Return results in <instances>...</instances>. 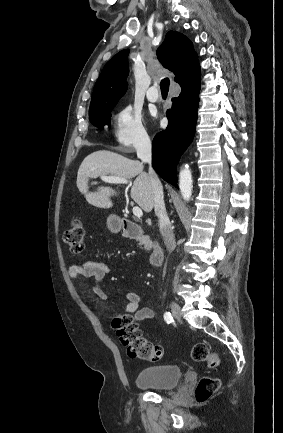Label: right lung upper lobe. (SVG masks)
<instances>
[{
  "instance_id": "1",
  "label": "right lung upper lobe",
  "mask_w": 283,
  "mask_h": 433,
  "mask_svg": "<svg viewBox=\"0 0 283 433\" xmlns=\"http://www.w3.org/2000/svg\"><path fill=\"white\" fill-rule=\"evenodd\" d=\"M129 50L117 53L104 66L92 94L89 113L107 106L116 105L127 89ZM162 65L172 71L175 81L181 85L200 77L198 55L192 42L183 34L169 31L157 50Z\"/></svg>"
}]
</instances>
